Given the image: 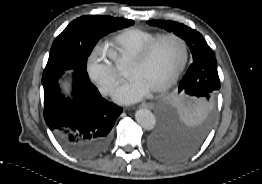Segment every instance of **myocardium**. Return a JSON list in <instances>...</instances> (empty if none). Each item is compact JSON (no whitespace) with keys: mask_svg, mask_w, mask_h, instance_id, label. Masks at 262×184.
Instances as JSON below:
<instances>
[{"mask_svg":"<svg viewBox=\"0 0 262 184\" xmlns=\"http://www.w3.org/2000/svg\"><path fill=\"white\" fill-rule=\"evenodd\" d=\"M166 39H175L179 41L183 47L184 56L183 60L178 67V69L175 71V73L162 85L155 87L151 89L152 92H163L168 90L170 87H172L180 78L181 74L183 73L188 60H189V47L184 38L177 34L169 33V34H163L154 39L152 42L147 44L134 58L131 59L130 63L134 65H141L145 63L150 55L152 54L153 50L156 48V46Z\"/></svg>","mask_w":262,"mask_h":184,"instance_id":"obj_1","label":"myocardium"}]
</instances>
